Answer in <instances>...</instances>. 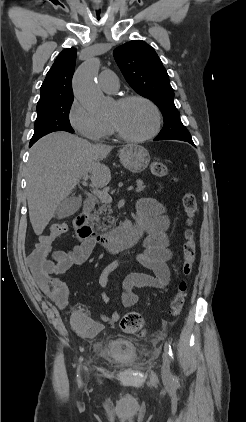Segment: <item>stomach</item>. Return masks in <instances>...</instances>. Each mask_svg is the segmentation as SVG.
Returning a JSON list of instances; mask_svg holds the SVG:
<instances>
[{
  "label": "stomach",
  "instance_id": "stomach-1",
  "mask_svg": "<svg viewBox=\"0 0 246 422\" xmlns=\"http://www.w3.org/2000/svg\"><path fill=\"white\" fill-rule=\"evenodd\" d=\"M119 157L123 166L133 173L144 171L150 162L147 149L137 144L125 145L120 150Z\"/></svg>",
  "mask_w": 246,
  "mask_h": 422
}]
</instances>
